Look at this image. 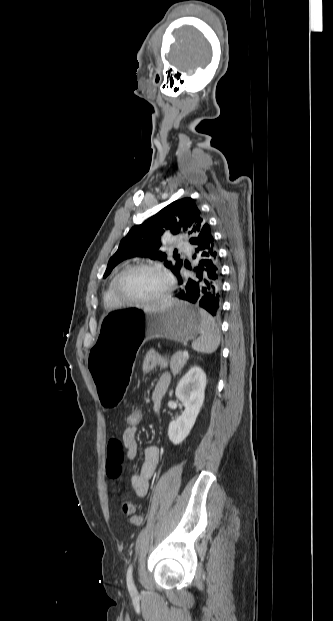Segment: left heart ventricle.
Here are the masks:
<instances>
[{
  "instance_id": "obj_1",
  "label": "left heart ventricle",
  "mask_w": 333,
  "mask_h": 621,
  "mask_svg": "<svg viewBox=\"0 0 333 621\" xmlns=\"http://www.w3.org/2000/svg\"><path fill=\"white\" fill-rule=\"evenodd\" d=\"M167 288L165 278L153 270H137L124 277L121 294L128 299L152 300L160 297Z\"/></svg>"
}]
</instances>
